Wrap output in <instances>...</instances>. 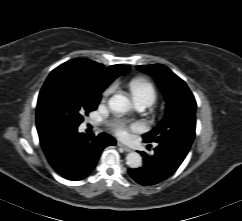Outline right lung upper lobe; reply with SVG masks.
Listing matches in <instances>:
<instances>
[{
    "label": "right lung upper lobe",
    "mask_w": 242,
    "mask_h": 221,
    "mask_svg": "<svg viewBox=\"0 0 242 221\" xmlns=\"http://www.w3.org/2000/svg\"><path fill=\"white\" fill-rule=\"evenodd\" d=\"M128 69L129 66L125 65L104 67L89 59H72L55 68L48 76L44 86L52 80L63 79L81 85L88 90L103 92L114 79ZM46 127L47 125L44 123L37 124L38 131Z\"/></svg>",
    "instance_id": "right-lung-upper-lobe-1"
}]
</instances>
